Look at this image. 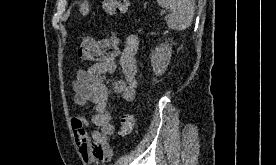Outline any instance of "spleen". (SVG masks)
<instances>
[{
  "label": "spleen",
  "instance_id": "spleen-1",
  "mask_svg": "<svg viewBox=\"0 0 276 165\" xmlns=\"http://www.w3.org/2000/svg\"><path fill=\"white\" fill-rule=\"evenodd\" d=\"M161 7H168L170 13L165 16L169 28L182 31L188 28L194 16V0H157Z\"/></svg>",
  "mask_w": 276,
  "mask_h": 165
}]
</instances>
